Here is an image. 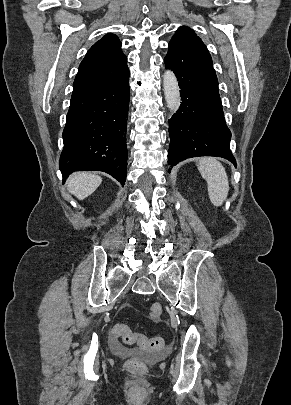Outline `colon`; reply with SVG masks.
I'll return each instance as SVG.
<instances>
[{
  "label": "colon",
  "mask_w": 291,
  "mask_h": 405,
  "mask_svg": "<svg viewBox=\"0 0 291 405\" xmlns=\"http://www.w3.org/2000/svg\"><path fill=\"white\" fill-rule=\"evenodd\" d=\"M162 306L155 303L151 306L150 315L153 319L160 317L162 314ZM113 339H120L125 344L137 343L144 351L160 350L164 347L165 342L161 337L149 338L143 335L136 334L123 323L114 325L111 331ZM126 366L132 370H143L146 367L145 360L141 357H130L126 361Z\"/></svg>",
  "instance_id": "obj_1"
}]
</instances>
